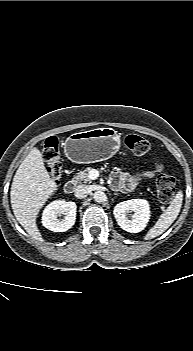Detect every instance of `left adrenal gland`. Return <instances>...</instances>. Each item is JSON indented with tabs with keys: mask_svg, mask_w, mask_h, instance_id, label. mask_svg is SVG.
<instances>
[{
	"mask_svg": "<svg viewBox=\"0 0 193 351\" xmlns=\"http://www.w3.org/2000/svg\"><path fill=\"white\" fill-rule=\"evenodd\" d=\"M114 195H119V193H114Z\"/></svg>",
	"mask_w": 193,
	"mask_h": 351,
	"instance_id": "obj_1",
	"label": "left adrenal gland"
}]
</instances>
